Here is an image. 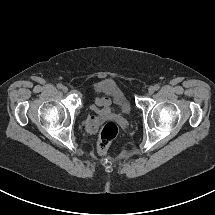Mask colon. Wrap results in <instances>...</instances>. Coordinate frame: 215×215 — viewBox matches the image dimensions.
<instances>
[{
	"instance_id": "obj_1",
	"label": "colon",
	"mask_w": 215,
	"mask_h": 215,
	"mask_svg": "<svg viewBox=\"0 0 215 215\" xmlns=\"http://www.w3.org/2000/svg\"><path fill=\"white\" fill-rule=\"evenodd\" d=\"M119 127L115 122L104 123L99 130L97 149L100 154H105L111 143L118 136Z\"/></svg>"
}]
</instances>
